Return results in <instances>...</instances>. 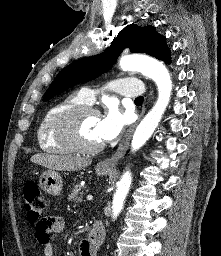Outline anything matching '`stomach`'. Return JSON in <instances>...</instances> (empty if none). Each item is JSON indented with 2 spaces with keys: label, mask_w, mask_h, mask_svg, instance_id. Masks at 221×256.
<instances>
[{
  "label": "stomach",
  "mask_w": 221,
  "mask_h": 256,
  "mask_svg": "<svg viewBox=\"0 0 221 256\" xmlns=\"http://www.w3.org/2000/svg\"><path fill=\"white\" fill-rule=\"evenodd\" d=\"M110 172H112L111 168H102L100 166L96 168V173L100 176L106 175L107 173ZM39 186L43 191H45L49 195L57 196L62 191V177L58 172L54 170L45 171L40 176Z\"/></svg>",
  "instance_id": "stomach-1"
}]
</instances>
